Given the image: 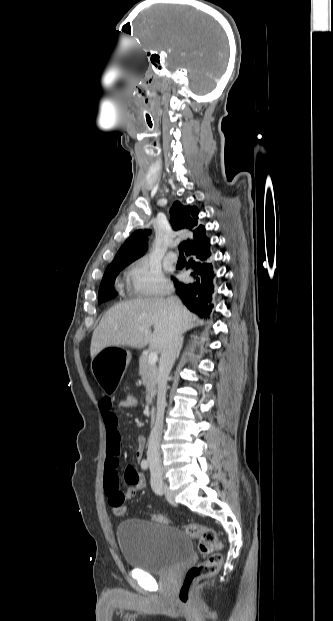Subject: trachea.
I'll use <instances>...</instances> for the list:
<instances>
[{
	"instance_id": "obj_1",
	"label": "trachea",
	"mask_w": 333,
	"mask_h": 621,
	"mask_svg": "<svg viewBox=\"0 0 333 621\" xmlns=\"http://www.w3.org/2000/svg\"><path fill=\"white\" fill-rule=\"evenodd\" d=\"M184 245H185V243H184V242H182V243L179 245V248H178V249H179L180 254H183Z\"/></svg>"
}]
</instances>
